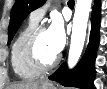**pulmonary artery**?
I'll list each match as a JSON object with an SVG mask.
<instances>
[{"label": "pulmonary artery", "mask_w": 107, "mask_h": 89, "mask_svg": "<svg viewBox=\"0 0 107 89\" xmlns=\"http://www.w3.org/2000/svg\"><path fill=\"white\" fill-rule=\"evenodd\" d=\"M47 7H48V5H45L43 7H40L38 9L34 10L31 13L30 18L36 22H39L43 18L44 14L47 10Z\"/></svg>", "instance_id": "pulmonary-artery-1"}]
</instances>
